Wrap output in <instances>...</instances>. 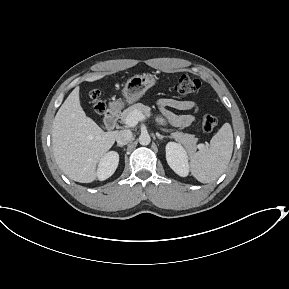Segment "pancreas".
Segmentation results:
<instances>
[{
	"mask_svg": "<svg viewBox=\"0 0 289 289\" xmlns=\"http://www.w3.org/2000/svg\"><path fill=\"white\" fill-rule=\"evenodd\" d=\"M134 111H139L147 117L151 115V108L149 106H145L142 103H137L128 107L121 113V121L125 123L127 117ZM170 137L183 144L190 153H194L197 149L196 142L198 139L192 134L174 132Z\"/></svg>",
	"mask_w": 289,
	"mask_h": 289,
	"instance_id": "pancreas-1",
	"label": "pancreas"
}]
</instances>
